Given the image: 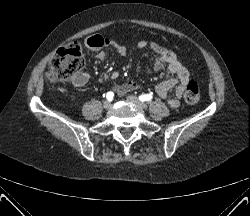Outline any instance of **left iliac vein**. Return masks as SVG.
I'll return each instance as SVG.
<instances>
[{
	"label": "left iliac vein",
	"mask_w": 250,
	"mask_h": 216,
	"mask_svg": "<svg viewBox=\"0 0 250 216\" xmlns=\"http://www.w3.org/2000/svg\"><path fill=\"white\" fill-rule=\"evenodd\" d=\"M127 100L133 102L134 104H136L139 108L143 109L145 108V104L143 102H141L136 96L134 95H129L127 96Z\"/></svg>",
	"instance_id": "obj_1"
}]
</instances>
